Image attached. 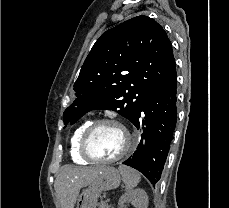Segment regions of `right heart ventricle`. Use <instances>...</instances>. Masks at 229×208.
I'll return each instance as SVG.
<instances>
[{
  "label": "right heart ventricle",
  "mask_w": 229,
  "mask_h": 208,
  "mask_svg": "<svg viewBox=\"0 0 229 208\" xmlns=\"http://www.w3.org/2000/svg\"><path fill=\"white\" fill-rule=\"evenodd\" d=\"M90 123H91L90 121H86L81 125H79L73 131L69 139V153H70L71 160L78 165H87L91 163L90 159L82 158L81 157L82 153H78V148H80L79 144L81 143L82 135Z\"/></svg>",
  "instance_id": "obj_1"
}]
</instances>
